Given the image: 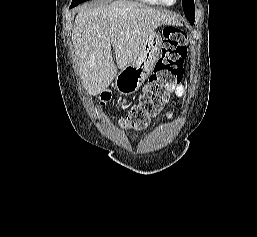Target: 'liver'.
Here are the masks:
<instances>
[{
	"instance_id": "obj_1",
	"label": "liver",
	"mask_w": 257,
	"mask_h": 237,
	"mask_svg": "<svg viewBox=\"0 0 257 237\" xmlns=\"http://www.w3.org/2000/svg\"><path fill=\"white\" fill-rule=\"evenodd\" d=\"M166 24L178 21L166 11L125 0L83 7L75 18L72 41L87 92L105 91L118 69L132 64L154 30Z\"/></svg>"
}]
</instances>
